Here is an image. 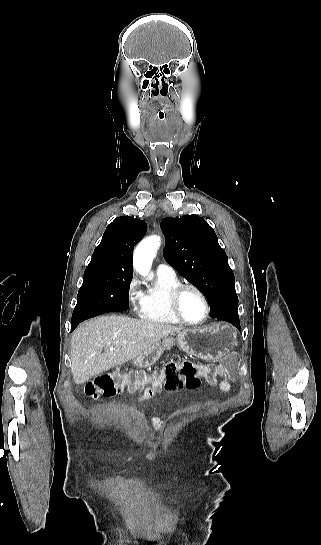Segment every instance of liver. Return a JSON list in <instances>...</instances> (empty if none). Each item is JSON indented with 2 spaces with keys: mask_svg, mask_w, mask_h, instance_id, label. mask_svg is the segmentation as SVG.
<instances>
[{
  "mask_svg": "<svg viewBox=\"0 0 321 545\" xmlns=\"http://www.w3.org/2000/svg\"><path fill=\"white\" fill-rule=\"evenodd\" d=\"M181 327L109 315L85 321L71 339V373L76 385L139 357ZM113 351H110L111 345ZM104 349L105 353H101Z\"/></svg>",
  "mask_w": 321,
  "mask_h": 545,
  "instance_id": "obj_1",
  "label": "liver"
}]
</instances>
